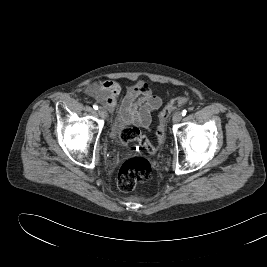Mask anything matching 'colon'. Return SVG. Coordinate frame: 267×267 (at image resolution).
I'll return each instance as SVG.
<instances>
[{
  "label": "colon",
  "instance_id": "5ec220e1",
  "mask_svg": "<svg viewBox=\"0 0 267 267\" xmlns=\"http://www.w3.org/2000/svg\"><path fill=\"white\" fill-rule=\"evenodd\" d=\"M188 102L185 96L173 98L165 108L159 113V125L156 131L157 144H152L148 138L142 134L137 127H125L120 132V141L124 146L131 142H138L148 153H157L160 145L164 141V124L173 111ZM152 176V166L150 162L141 156H132L127 159L119 169L117 175V186L122 192H130L139 184L146 183Z\"/></svg>",
  "mask_w": 267,
  "mask_h": 267
}]
</instances>
